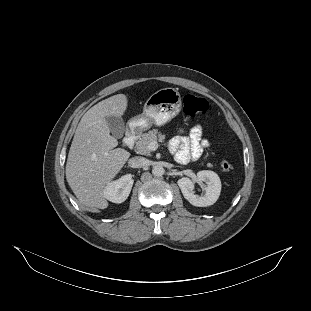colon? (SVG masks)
<instances>
[{"label":"colon","mask_w":311,"mask_h":311,"mask_svg":"<svg viewBox=\"0 0 311 311\" xmlns=\"http://www.w3.org/2000/svg\"><path fill=\"white\" fill-rule=\"evenodd\" d=\"M208 111V103L204 98L193 94H186L183 97V112L188 118H197L203 116ZM221 168L223 171H230L233 165L228 160H222Z\"/></svg>","instance_id":"colon-1"}]
</instances>
